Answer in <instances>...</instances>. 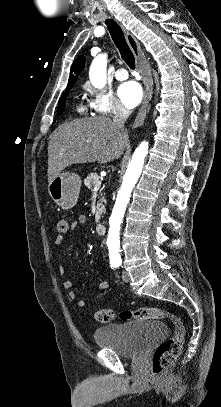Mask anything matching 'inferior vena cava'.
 Listing matches in <instances>:
<instances>
[{"label":"inferior vena cava","mask_w":221,"mask_h":407,"mask_svg":"<svg viewBox=\"0 0 221 407\" xmlns=\"http://www.w3.org/2000/svg\"><path fill=\"white\" fill-rule=\"evenodd\" d=\"M130 111L126 109L123 105L118 104L116 108L115 115L113 117V122L119 128L124 129V123L128 119Z\"/></svg>","instance_id":"inferior-vena-cava-1"}]
</instances>
